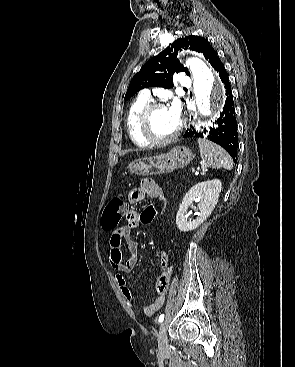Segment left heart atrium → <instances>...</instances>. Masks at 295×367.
Masks as SVG:
<instances>
[{
  "label": "left heart atrium",
  "instance_id": "obj_1",
  "mask_svg": "<svg viewBox=\"0 0 295 367\" xmlns=\"http://www.w3.org/2000/svg\"><path fill=\"white\" fill-rule=\"evenodd\" d=\"M171 115L179 122L180 121V105L177 101H173L168 108Z\"/></svg>",
  "mask_w": 295,
  "mask_h": 367
}]
</instances>
